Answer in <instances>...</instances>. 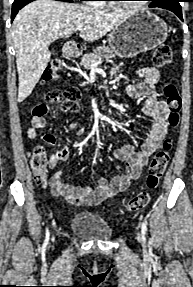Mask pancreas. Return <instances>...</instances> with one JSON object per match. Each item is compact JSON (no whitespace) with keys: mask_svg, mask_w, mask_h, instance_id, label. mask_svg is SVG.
I'll use <instances>...</instances> for the list:
<instances>
[{"mask_svg":"<svg viewBox=\"0 0 193 287\" xmlns=\"http://www.w3.org/2000/svg\"><path fill=\"white\" fill-rule=\"evenodd\" d=\"M115 54L110 47L100 46L97 47L92 53L86 54L81 59V66L84 67L85 70L91 69V65L95 62H98L102 59H110L114 58Z\"/></svg>","mask_w":193,"mask_h":287,"instance_id":"1","label":"pancreas"}]
</instances>
